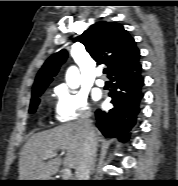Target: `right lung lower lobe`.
<instances>
[{
    "instance_id": "obj_1",
    "label": "right lung lower lobe",
    "mask_w": 178,
    "mask_h": 186,
    "mask_svg": "<svg viewBox=\"0 0 178 186\" xmlns=\"http://www.w3.org/2000/svg\"><path fill=\"white\" fill-rule=\"evenodd\" d=\"M139 61L130 64L109 77L110 96L113 108L109 111L97 110V127L105 137H118L126 141L130 130L136 124L140 111L139 104L143 98L144 79ZM85 185V184H81Z\"/></svg>"
}]
</instances>
